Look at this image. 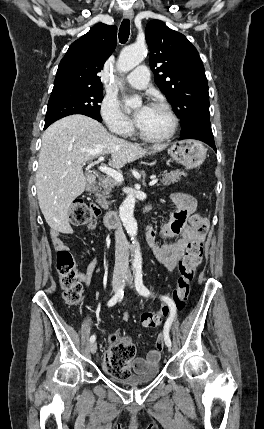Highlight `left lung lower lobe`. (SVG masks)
Segmentation results:
<instances>
[{"instance_id": "obj_1", "label": "left lung lower lobe", "mask_w": 264, "mask_h": 429, "mask_svg": "<svg viewBox=\"0 0 264 429\" xmlns=\"http://www.w3.org/2000/svg\"><path fill=\"white\" fill-rule=\"evenodd\" d=\"M180 139H197V140H200V141L207 143L209 146H211L216 151V147H215V143H214V137H213L210 122L199 124L191 132H189L185 135H181Z\"/></svg>"}]
</instances>
